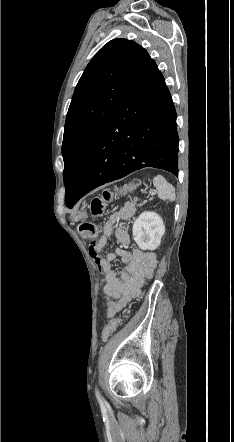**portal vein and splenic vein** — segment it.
Segmentation results:
<instances>
[{
	"mask_svg": "<svg viewBox=\"0 0 234 442\" xmlns=\"http://www.w3.org/2000/svg\"><path fill=\"white\" fill-rule=\"evenodd\" d=\"M151 196H154L155 194H156V192L155 191H150V193H149Z\"/></svg>",
	"mask_w": 234,
	"mask_h": 442,
	"instance_id": "18ae733b",
	"label": "portal vein and splenic vein"
}]
</instances>
